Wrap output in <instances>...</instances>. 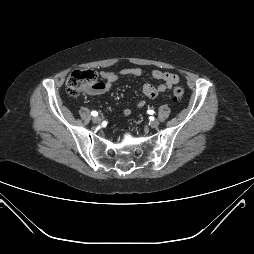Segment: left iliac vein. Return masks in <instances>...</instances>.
<instances>
[{"label":"left iliac vein","instance_id":"obj_1","mask_svg":"<svg viewBox=\"0 0 254 254\" xmlns=\"http://www.w3.org/2000/svg\"><path fill=\"white\" fill-rule=\"evenodd\" d=\"M149 125L152 128H157L159 126V121L157 119H153L152 121H150Z\"/></svg>","mask_w":254,"mask_h":254}]
</instances>
